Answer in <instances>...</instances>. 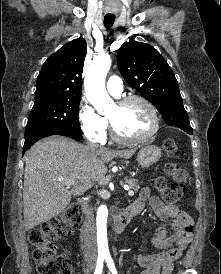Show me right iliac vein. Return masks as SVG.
I'll return each instance as SVG.
<instances>
[{
  "mask_svg": "<svg viewBox=\"0 0 221 274\" xmlns=\"http://www.w3.org/2000/svg\"><path fill=\"white\" fill-rule=\"evenodd\" d=\"M93 267H90V271H92Z\"/></svg>",
  "mask_w": 221,
  "mask_h": 274,
  "instance_id": "1",
  "label": "right iliac vein"
}]
</instances>
